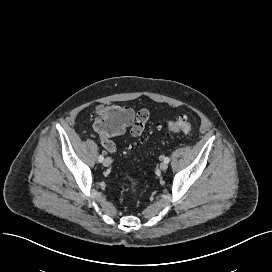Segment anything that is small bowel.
<instances>
[{
    "mask_svg": "<svg viewBox=\"0 0 272 272\" xmlns=\"http://www.w3.org/2000/svg\"><path fill=\"white\" fill-rule=\"evenodd\" d=\"M121 108L128 111L131 114V120L129 122V125L131 123H133V121H135L137 116H139V115L145 116L146 121L148 119V112L146 110L139 111L135 116L134 112L130 108H128L126 106H122ZM103 109H104L103 107L100 108V110H103ZM102 145H103L104 149L106 151H108L109 153H116L117 152L116 144L111 139H109L107 136L102 138Z\"/></svg>",
    "mask_w": 272,
    "mask_h": 272,
    "instance_id": "1",
    "label": "small bowel"
}]
</instances>
